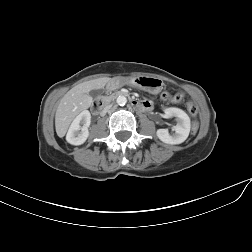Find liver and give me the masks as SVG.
<instances>
[{
	"label": "liver",
	"instance_id": "obj_1",
	"mask_svg": "<svg viewBox=\"0 0 252 252\" xmlns=\"http://www.w3.org/2000/svg\"><path fill=\"white\" fill-rule=\"evenodd\" d=\"M110 81V78L104 77L83 82L65 94L58 105L55 115L56 132L59 137L65 135L72 120L82 110L90 107L93 99L89 92L104 88Z\"/></svg>",
	"mask_w": 252,
	"mask_h": 252
}]
</instances>
